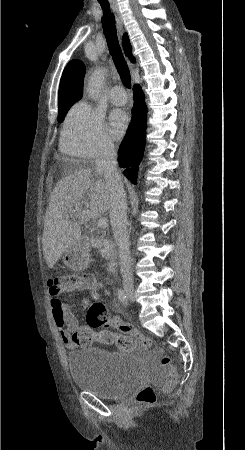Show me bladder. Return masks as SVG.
Returning a JSON list of instances; mask_svg holds the SVG:
<instances>
[{"label": "bladder", "mask_w": 245, "mask_h": 450, "mask_svg": "<svg viewBox=\"0 0 245 450\" xmlns=\"http://www.w3.org/2000/svg\"><path fill=\"white\" fill-rule=\"evenodd\" d=\"M65 359L76 388L101 399L124 397L140 388L146 378V367L135 354L88 348L69 352Z\"/></svg>", "instance_id": "31cf9c89"}]
</instances>
